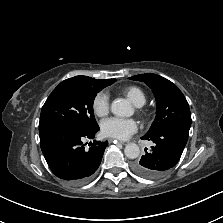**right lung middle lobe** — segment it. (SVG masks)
<instances>
[{
	"label": "right lung middle lobe",
	"instance_id": "dd1d6c3e",
	"mask_svg": "<svg viewBox=\"0 0 223 223\" xmlns=\"http://www.w3.org/2000/svg\"><path fill=\"white\" fill-rule=\"evenodd\" d=\"M115 81L64 80L52 91L42 107L39 131L61 124L88 130L98 127L93 113L94 98Z\"/></svg>",
	"mask_w": 223,
	"mask_h": 223
}]
</instances>
